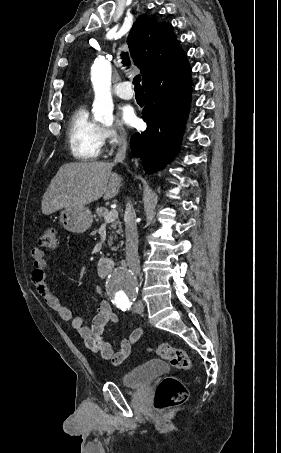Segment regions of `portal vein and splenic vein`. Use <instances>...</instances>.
Instances as JSON below:
<instances>
[{"label":"portal vein and splenic vein","mask_w":281,"mask_h":453,"mask_svg":"<svg viewBox=\"0 0 281 453\" xmlns=\"http://www.w3.org/2000/svg\"><path fill=\"white\" fill-rule=\"evenodd\" d=\"M118 216V210L116 208H113V210H109V212H106L104 218L105 222H113L115 218Z\"/></svg>","instance_id":"portal-vein-and-splenic-vein-1"}]
</instances>
